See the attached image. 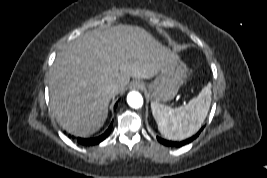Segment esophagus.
<instances>
[{
	"label": "esophagus",
	"instance_id": "esophagus-1",
	"mask_svg": "<svg viewBox=\"0 0 267 178\" xmlns=\"http://www.w3.org/2000/svg\"><path fill=\"white\" fill-rule=\"evenodd\" d=\"M130 87L135 90H141L143 89V83L136 80L131 83Z\"/></svg>",
	"mask_w": 267,
	"mask_h": 178
}]
</instances>
